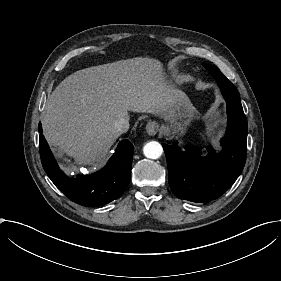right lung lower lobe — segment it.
Listing matches in <instances>:
<instances>
[{
	"label": "right lung lower lobe",
	"instance_id": "1",
	"mask_svg": "<svg viewBox=\"0 0 281 281\" xmlns=\"http://www.w3.org/2000/svg\"><path fill=\"white\" fill-rule=\"evenodd\" d=\"M39 150L43 168L55 186L73 202L97 207L118 199L126 190L130 177L133 145L128 140L118 144L115 154L101 171L77 178L67 177L58 167L39 123Z\"/></svg>",
	"mask_w": 281,
	"mask_h": 281
}]
</instances>
